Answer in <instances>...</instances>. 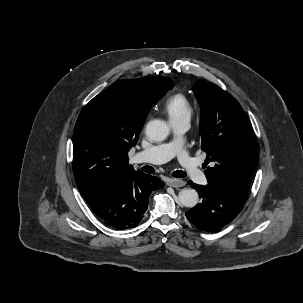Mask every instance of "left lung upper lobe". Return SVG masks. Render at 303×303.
I'll return each mask as SVG.
<instances>
[{
  "label": "left lung upper lobe",
  "instance_id": "5c2ea615",
  "mask_svg": "<svg viewBox=\"0 0 303 303\" xmlns=\"http://www.w3.org/2000/svg\"><path fill=\"white\" fill-rule=\"evenodd\" d=\"M193 92L201 108V149L207 153L208 183L246 200L259 156L252 126L238 102L214 84L198 80Z\"/></svg>",
  "mask_w": 303,
  "mask_h": 303
}]
</instances>
